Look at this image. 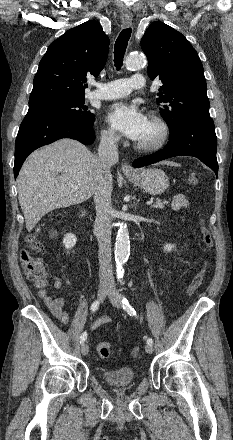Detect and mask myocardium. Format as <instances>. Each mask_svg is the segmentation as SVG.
<instances>
[{"label":"myocardium","instance_id":"obj_1","mask_svg":"<svg viewBox=\"0 0 233 440\" xmlns=\"http://www.w3.org/2000/svg\"><path fill=\"white\" fill-rule=\"evenodd\" d=\"M148 119L158 128L159 135L152 142L137 141L135 147L142 152H155L166 144L170 135V128L165 119L157 113H150Z\"/></svg>","mask_w":233,"mask_h":440}]
</instances>
